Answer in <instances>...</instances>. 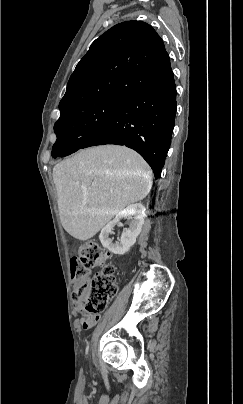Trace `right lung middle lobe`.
Listing matches in <instances>:
<instances>
[{
    "mask_svg": "<svg viewBox=\"0 0 243 404\" xmlns=\"http://www.w3.org/2000/svg\"><path fill=\"white\" fill-rule=\"evenodd\" d=\"M124 98H104L78 105L60 115L54 125L57 140L52 157H64L81 149L116 113Z\"/></svg>",
    "mask_w": 243,
    "mask_h": 404,
    "instance_id": "1",
    "label": "right lung middle lobe"
}]
</instances>
